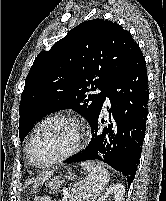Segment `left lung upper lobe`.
I'll return each mask as SVG.
<instances>
[{
    "instance_id": "5c2ea615",
    "label": "left lung upper lobe",
    "mask_w": 166,
    "mask_h": 201,
    "mask_svg": "<svg viewBox=\"0 0 166 201\" xmlns=\"http://www.w3.org/2000/svg\"><path fill=\"white\" fill-rule=\"evenodd\" d=\"M137 47L119 24L93 19L74 27L49 51L40 52L21 94L20 140L55 111L73 109L90 122ZM97 89L101 92L91 93Z\"/></svg>"
}]
</instances>
